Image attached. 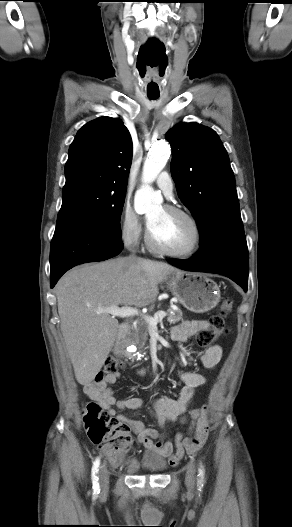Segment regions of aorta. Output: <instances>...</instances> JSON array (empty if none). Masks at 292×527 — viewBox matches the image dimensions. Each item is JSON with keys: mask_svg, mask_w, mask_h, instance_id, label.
I'll use <instances>...</instances> for the list:
<instances>
[{"mask_svg": "<svg viewBox=\"0 0 292 527\" xmlns=\"http://www.w3.org/2000/svg\"><path fill=\"white\" fill-rule=\"evenodd\" d=\"M170 153V146L165 141L158 142L150 148L143 165L142 186L134 198V208L138 214L148 213L162 202L161 195L154 192L151 183L165 167Z\"/></svg>", "mask_w": 292, "mask_h": 527, "instance_id": "1", "label": "aorta"}]
</instances>
